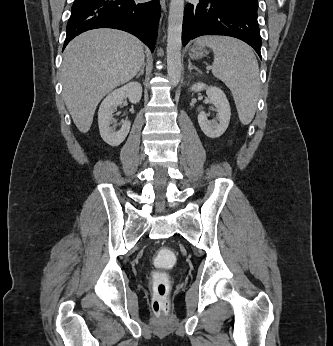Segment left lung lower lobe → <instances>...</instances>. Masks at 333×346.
Returning <instances> with one entry per match:
<instances>
[{"instance_id":"left-lung-lower-lobe-1","label":"left lung lower lobe","mask_w":333,"mask_h":346,"mask_svg":"<svg viewBox=\"0 0 333 346\" xmlns=\"http://www.w3.org/2000/svg\"><path fill=\"white\" fill-rule=\"evenodd\" d=\"M203 35H224L248 43L261 58L257 15L233 6L227 0H200L184 10L182 43Z\"/></svg>"}]
</instances>
